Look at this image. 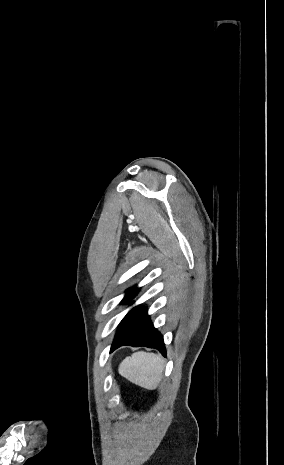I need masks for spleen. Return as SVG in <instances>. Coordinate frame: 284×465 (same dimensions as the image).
Listing matches in <instances>:
<instances>
[{
    "mask_svg": "<svg viewBox=\"0 0 284 465\" xmlns=\"http://www.w3.org/2000/svg\"><path fill=\"white\" fill-rule=\"evenodd\" d=\"M164 371V361L155 353L138 351L126 357L118 367V373L134 385L153 391L157 389Z\"/></svg>",
    "mask_w": 284,
    "mask_h": 465,
    "instance_id": "spleen-1",
    "label": "spleen"
}]
</instances>
